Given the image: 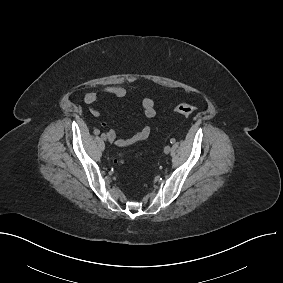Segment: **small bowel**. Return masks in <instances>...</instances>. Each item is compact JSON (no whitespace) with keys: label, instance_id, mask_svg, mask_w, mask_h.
<instances>
[{"label":"small bowel","instance_id":"c3829d8e","mask_svg":"<svg viewBox=\"0 0 283 283\" xmlns=\"http://www.w3.org/2000/svg\"><path fill=\"white\" fill-rule=\"evenodd\" d=\"M104 94L110 95L114 98H123L126 96V90L121 86H105L88 91L84 96V102L92 106L90 111L93 116H99V110L93 105ZM141 110L147 118H154L156 116L155 104L151 98L146 97L141 101ZM103 126L106 125L103 124ZM150 133L151 128L148 125H144L139 131L129 137L117 138L115 131L112 129L108 130L107 136L109 141L116 146L128 147L146 140L150 136Z\"/></svg>","mask_w":283,"mask_h":283}]
</instances>
